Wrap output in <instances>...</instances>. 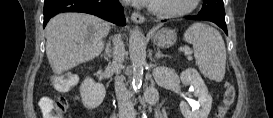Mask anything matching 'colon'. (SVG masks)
Masks as SVG:
<instances>
[{
	"instance_id": "colon-1",
	"label": "colon",
	"mask_w": 273,
	"mask_h": 118,
	"mask_svg": "<svg viewBox=\"0 0 273 118\" xmlns=\"http://www.w3.org/2000/svg\"><path fill=\"white\" fill-rule=\"evenodd\" d=\"M57 86L60 88L69 87L72 85L69 79H57ZM235 98V90L229 86L224 94L222 106L217 114L218 118H224ZM40 110L44 118H62L66 105L65 100L61 97H44L40 101Z\"/></svg>"
}]
</instances>
